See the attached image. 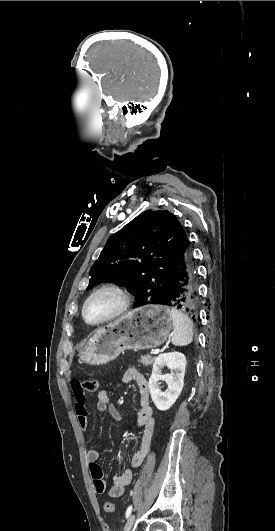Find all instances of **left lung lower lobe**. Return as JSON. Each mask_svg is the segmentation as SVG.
<instances>
[{
	"instance_id": "0a47b994",
	"label": "left lung lower lobe",
	"mask_w": 275,
	"mask_h": 531,
	"mask_svg": "<svg viewBox=\"0 0 275 531\" xmlns=\"http://www.w3.org/2000/svg\"><path fill=\"white\" fill-rule=\"evenodd\" d=\"M199 303L197 271L192 250L188 247L182 256L167 295L158 303L188 312L194 318Z\"/></svg>"
}]
</instances>
